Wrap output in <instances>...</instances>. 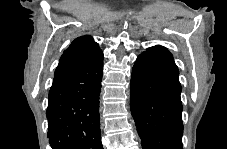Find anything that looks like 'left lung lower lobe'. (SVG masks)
I'll return each instance as SVG.
<instances>
[{"mask_svg": "<svg viewBox=\"0 0 227 149\" xmlns=\"http://www.w3.org/2000/svg\"><path fill=\"white\" fill-rule=\"evenodd\" d=\"M179 71L172 54L156 45L132 70L130 108L142 149H183Z\"/></svg>", "mask_w": 227, "mask_h": 149, "instance_id": "left-lung-lower-lobe-1", "label": "left lung lower lobe"}]
</instances>
